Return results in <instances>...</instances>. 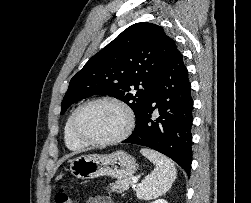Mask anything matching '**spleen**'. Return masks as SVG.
<instances>
[{"instance_id":"3e777b00","label":"spleen","mask_w":251,"mask_h":203,"mask_svg":"<svg viewBox=\"0 0 251 203\" xmlns=\"http://www.w3.org/2000/svg\"><path fill=\"white\" fill-rule=\"evenodd\" d=\"M140 152L155 165V169L138 185L136 196L141 200H152L171 188L177 170L169 158L157 151L142 148Z\"/></svg>"}]
</instances>
